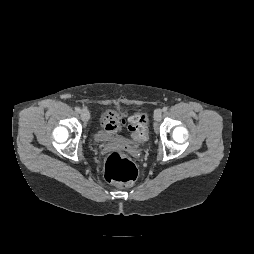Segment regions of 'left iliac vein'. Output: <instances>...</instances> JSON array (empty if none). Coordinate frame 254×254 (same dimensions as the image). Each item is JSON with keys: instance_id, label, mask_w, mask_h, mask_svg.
I'll return each mask as SVG.
<instances>
[{"instance_id": "1", "label": "left iliac vein", "mask_w": 254, "mask_h": 254, "mask_svg": "<svg viewBox=\"0 0 254 254\" xmlns=\"http://www.w3.org/2000/svg\"><path fill=\"white\" fill-rule=\"evenodd\" d=\"M162 117V111L160 109H157L154 113V120L160 121Z\"/></svg>"}]
</instances>
